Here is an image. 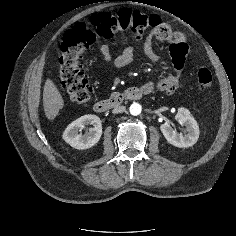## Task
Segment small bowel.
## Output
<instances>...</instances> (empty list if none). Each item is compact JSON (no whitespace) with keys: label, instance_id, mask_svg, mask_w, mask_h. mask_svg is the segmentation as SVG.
<instances>
[{"label":"small bowel","instance_id":"1","mask_svg":"<svg viewBox=\"0 0 236 236\" xmlns=\"http://www.w3.org/2000/svg\"><path fill=\"white\" fill-rule=\"evenodd\" d=\"M177 34L175 40L171 41V55L172 64L176 70L175 74L163 77L155 82L145 84L143 87L148 93L155 91H163L168 94H172L178 91L181 87L180 77L178 72L182 70L186 55L188 53V45L183 35ZM100 52L103 55L105 61L116 69L123 68L130 64L135 56V49L133 47H127L117 54H112L108 43H102L100 45ZM143 53L153 63H160L162 61L160 55L156 53L153 48V38L148 36L143 43Z\"/></svg>","mask_w":236,"mask_h":236}]
</instances>
